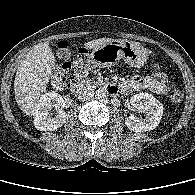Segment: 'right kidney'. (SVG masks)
<instances>
[{
    "label": "right kidney",
    "mask_w": 195,
    "mask_h": 195,
    "mask_svg": "<svg viewBox=\"0 0 195 195\" xmlns=\"http://www.w3.org/2000/svg\"><path fill=\"white\" fill-rule=\"evenodd\" d=\"M64 100L56 92H49L41 96L34 113V126L40 131H54L66 121V114L61 108ZM56 108V116L49 114L52 108Z\"/></svg>",
    "instance_id": "right-kidney-1"
}]
</instances>
